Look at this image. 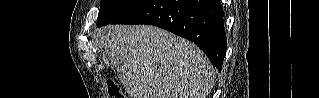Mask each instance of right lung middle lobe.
Returning <instances> with one entry per match:
<instances>
[{"label":"right lung middle lobe","instance_id":"dd1d6c3e","mask_svg":"<svg viewBox=\"0 0 319 98\" xmlns=\"http://www.w3.org/2000/svg\"><path fill=\"white\" fill-rule=\"evenodd\" d=\"M147 0H101L97 26L101 27L123 17Z\"/></svg>","mask_w":319,"mask_h":98}]
</instances>
